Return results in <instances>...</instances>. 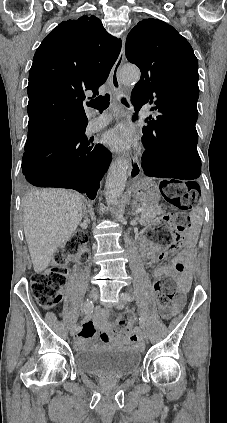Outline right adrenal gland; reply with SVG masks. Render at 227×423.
<instances>
[{"mask_svg": "<svg viewBox=\"0 0 227 423\" xmlns=\"http://www.w3.org/2000/svg\"><path fill=\"white\" fill-rule=\"evenodd\" d=\"M83 213H84V215H85V213H87L86 206H84V204H83Z\"/></svg>", "mask_w": 227, "mask_h": 423, "instance_id": "2a0ac1e0", "label": "right adrenal gland"}]
</instances>
